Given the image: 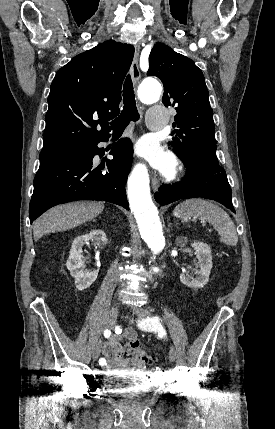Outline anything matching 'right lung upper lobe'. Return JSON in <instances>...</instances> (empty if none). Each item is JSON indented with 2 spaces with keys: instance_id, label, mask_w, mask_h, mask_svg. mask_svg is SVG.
Returning a JSON list of instances; mask_svg holds the SVG:
<instances>
[{
  "instance_id": "cb5924a9",
  "label": "right lung upper lobe",
  "mask_w": 275,
  "mask_h": 429,
  "mask_svg": "<svg viewBox=\"0 0 275 429\" xmlns=\"http://www.w3.org/2000/svg\"><path fill=\"white\" fill-rule=\"evenodd\" d=\"M133 55L132 45L109 40L57 71L48 97L41 160L109 135L108 121L120 113L121 87Z\"/></svg>"
}]
</instances>
